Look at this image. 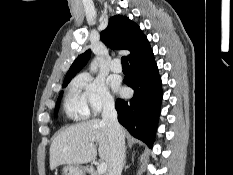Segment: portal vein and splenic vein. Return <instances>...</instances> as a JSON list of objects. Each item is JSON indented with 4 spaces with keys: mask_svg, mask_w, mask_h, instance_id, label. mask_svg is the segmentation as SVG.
I'll return each mask as SVG.
<instances>
[{
    "mask_svg": "<svg viewBox=\"0 0 233 175\" xmlns=\"http://www.w3.org/2000/svg\"><path fill=\"white\" fill-rule=\"evenodd\" d=\"M106 170H107L106 162H101L97 167V172L99 173V175L104 174Z\"/></svg>",
    "mask_w": 233,
    "mask_h": 175,
    "instance_id": "portal-vein-and-splenic-vein-1",
    "label": "portal vein and splenic vein"
}]
</instances>
